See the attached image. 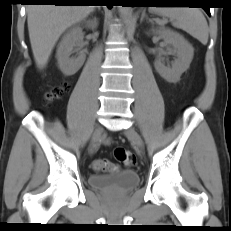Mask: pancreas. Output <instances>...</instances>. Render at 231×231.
Returning <instances> with one entry per match:
<instances>
[{"mask_svg": "<svg viewBox=\"0 0 231 231\" xmlns=\"http://www.w3.org/2000/svg\"><path fill=\"white\" fill-rule=\"evenodd\" d=\"M157 23L160 24V25H164L165 24L164 21H158Z\"/></svg>", "mask_w": 231, "mask_h": 231, "instance_id": "obj_1", "label": "pancreas"}]
</instances>
